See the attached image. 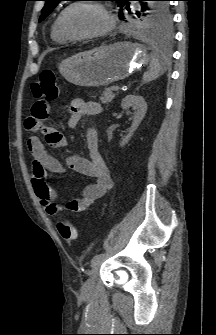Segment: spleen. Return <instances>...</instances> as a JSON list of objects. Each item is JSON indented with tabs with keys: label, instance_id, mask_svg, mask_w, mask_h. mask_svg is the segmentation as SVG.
Instances as JSON below:
<instances>
[{
	"label": "spleen",
	"instance_id": "3e777b00",
	"mask_svg": "<svg viewBox=\"0 0 216 335\" xmlns=\"http://www.w3.org/2000/svg\"><path fill=\"white\" fill-rule=\"evenodd\" d=\"M167 62L165 57L156 47L153 48L150 58V69L143 75V82H150L158 78L161 74L166 71Z\"/></svg>",
	"mask_w": 216,
	"mask_h": 335
}]
</instances>
